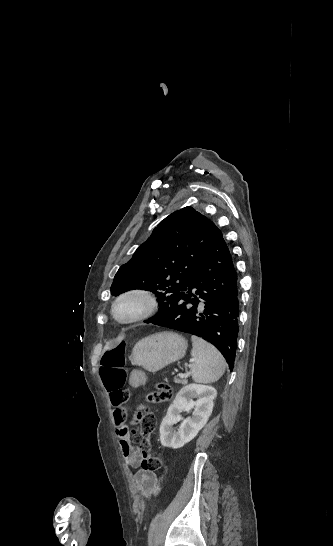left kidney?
Here are the masks:
<instances>
[{"mask_svg":"<svg viewBox=\"0 0 333 546\" xmlns=\"http://www.w3.org/2000/svg\"><path fill=\"white\" fill-rule=\"evenodd\" d=\"M216 395L217 392L212 386L198 384L184 386L177 393L160 425L161 444L178 449L196 437L212 413ZM192 409V416L183 420L178 431H174L172 426L182 420L180 413Z\"/></svg>","mask_w":333,"mask_h":546,"instance_id":"obj_1","label":"left kidney"}]
</instances>
